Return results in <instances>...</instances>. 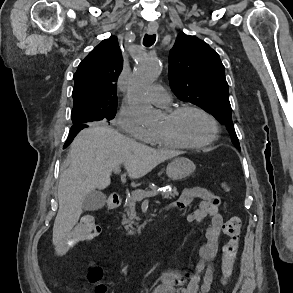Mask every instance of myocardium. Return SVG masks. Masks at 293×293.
I'll return each mask as SVG.
<instances>
[{"mask_svg": "<svg viewBox=\"0 0 293 293\" xmlns=\"http://www.w3.org/2000/svg\"><path fill=\"white\" fill-rule=\"evenodd\" d=\"M188 111L198 112L209 121L212 130L211 135L206 140L199 143H189L182 140L177 135L171 132L159 133V135L168 142L177 145L178 148L200 149L215 142L219 136V125L215 117L205 109L196 105H183L170 110L167 114V117L170 120L175 121L179 116Z\"/></svg>", "mask_w": 293, "mask_h": 293, "instance_id": "myocardium-1", "label": "myocardium"}]
</instances>
